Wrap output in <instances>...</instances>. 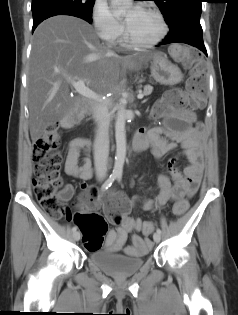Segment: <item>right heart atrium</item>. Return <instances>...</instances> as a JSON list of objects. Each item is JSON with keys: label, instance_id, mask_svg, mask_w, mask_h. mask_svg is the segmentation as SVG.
<instances>
[{"label": "right heart atrium", "instance_id": "1", "mask_svg": "<svg viewBox=\"0 0 238 315\" xmlns=\"http://www.w3.org/2000/svg\"><path fill=\"white\" fill-rule=\"evenodd\" d=\"M92 20L97 34L106 42H115L123 33L124 26L104 0H95Z\"/></svg>", "mask_w": 238, "mask_h": 315}]
</instances>
